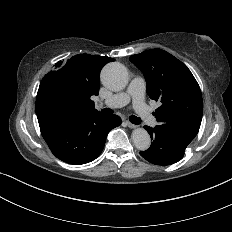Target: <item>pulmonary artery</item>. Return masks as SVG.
Listing matches in <instances>:
<instances>
[{"instance_id": "e3ab8cb5", "label": "pulmonary artery", "mask_w": 232, "mask_h": 232, "mask_svg": "<svg viewBox=\"0 0 232 232\" xmlns=\"http://www.w3.org/2000/svg\"><path fill=\"white\" fill-rule=\"evenodd\" d=\"M146 88V79L142 75H135L131 79V87L129 90L124 91L119 96L113 98L107 96L104 98L103 102L97 101L96 105L101 106L105 105L107 107H122L130 100L132 101V107L136 110L137 114L145 121L146 124L151 125L154 123L155 118L147 106L144 105L143 94Z\"/></svg>"}]
</instances>
